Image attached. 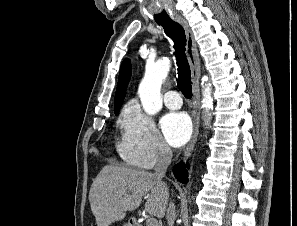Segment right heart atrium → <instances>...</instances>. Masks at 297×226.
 <instances>
[{
  "mask_svg": "<svg viewBox=\"0 0 297 226\" xmlns=\"http://www.w3.org/2000/svg\"><path fill=\"white\" fill-rule=\"evenodd\" d=\"M120 126L122 135L118 150L130 165L152 169L170 159L171 149L163 140L152 117L144 113L139 106H127Z\"/></svg>",
  "mask_w": 297,
  "mask_h": 226,
  "instance_id": "1",
  "label": "right heart atrium"
}]
</instances>
